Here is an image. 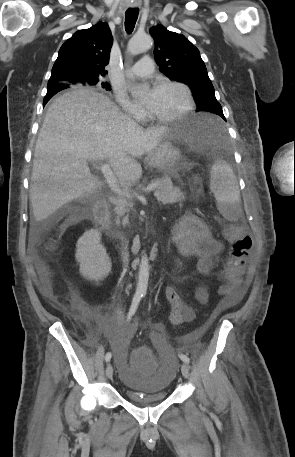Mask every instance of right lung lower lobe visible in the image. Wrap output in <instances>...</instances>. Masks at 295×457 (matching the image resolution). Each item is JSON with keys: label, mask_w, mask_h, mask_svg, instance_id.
<instances>
[{"label": "right lung lower lobe", "mask_w": 295, "mask_h": 457, "mask_svg": "<svg viewBox=\"0 0 295 457\" xmlns=\"http://www.w3.org/2000/svg\"><path fill=\"white\" fill-rule=\"evenodd\" d=\"M65 88L66 87L62 86V85L48 86L47 87V94H46V96L44 98L43 105H45L54 94H56L57 92L65 89Z\"/></svg>", "instance_id": "98d812e1"}]
</instances>
